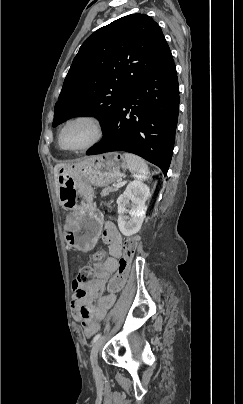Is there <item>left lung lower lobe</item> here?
<instances>
[{
	"label": "left lung lower lobe",
	"instance_id": "0a47b994",
	"mask_svg": "<svg viewBox=\"0 0 243 404\" xmlns=\"http://www.w3.org/2000/svg\"><path fill=\"white\" fill-rule=\"evenodd\" d=\"M178 108L179 86L170 53L134 86L103 129V140L91 147L87 155L131 152L157 165L166 175L173 153Z\"/></svg>",
	"mask_w": 243,
	"mask_h": 404
}]
</instances>
